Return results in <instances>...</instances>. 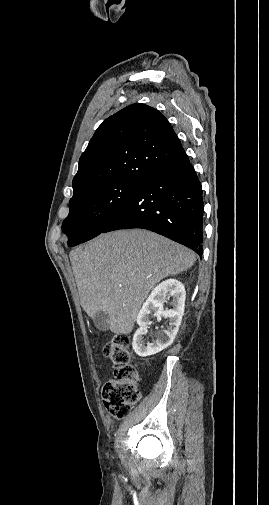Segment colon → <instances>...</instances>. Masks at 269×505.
<instances>
[{"label": "colon", "instance_id": "1", "mask_svg": "<svg viewBox=\"0 0 269 505\" xmlns=\"http://www.w3.org/2000/svg\"><path fill=\"white\" fill-rule=\"evenodd\" d=\"M129 346V336L117 334L104 347L105 356L113 364V377L103 385L102 400L117 419L127 416L141 397L137 387L139 374L131 362Z\"/></svg>", "mask_w": 269, "mask_h": 505}]
</instances>
